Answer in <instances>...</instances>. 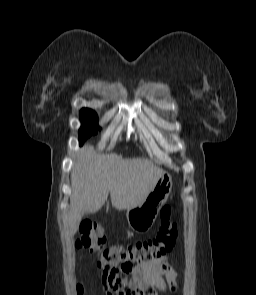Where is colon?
I'll return each mask as SVG.
<instances>
[{"instance_id":"obj_1","label":"colon","mask_w":256,"mask_h":295,"mask_svg":"<svg viewBox=\"0 0 256 295\" xmlns=\"http://www.w3.org/2000/svg\"><path fill=\"white\" fill-rule=\"evenodd\" d=\"M76 248H86L98 253L96 264L103 271H128L149 261L158 260L170 252L177 236V225L170 205L160 211V228L153 238L128 245L105 247L106 236L101 225L85 221L79 228ZM78 291H81L80 286Z\"/></svg>"}]
</instances>
